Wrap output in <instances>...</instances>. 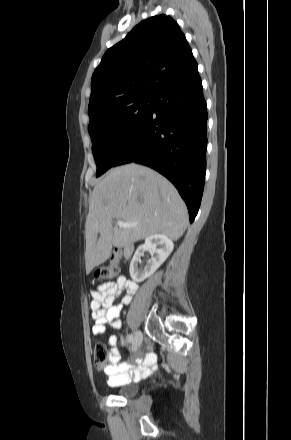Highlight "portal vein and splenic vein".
Instances as JSON below:
<instances>
[{"instance_id":"portal-vein-and-splenic-vein-1","label":"portal vein and splenic vein","mask_w":291,"mask_h":440,"mask_svg":"<svg viewBox=\"0 0 291 440\" xmlns=\"http://www.w3.org/2000/svg\"><path fill=\"white\" fill-rule=\"evenodd\" d=\"M117 224H118V226L120 227V228H129V227H134V226H136L137 225V222H134V223H126V222H124V221H118L117 222Z\"/></svg>"}]
</instances>
